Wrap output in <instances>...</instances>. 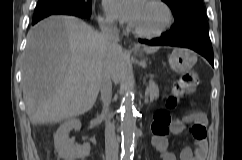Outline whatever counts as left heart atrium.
Here are the masks:
<instances>
[{
  "mask_svg": "<svg viewBox=\"0 0 242 160\" xmlns=\"http://www.w3.org/2000/svg\"><path fill=\"white\" fill-rule=\"evenodd\" d=\"M143 0H104L107 13L124 23L133 25Z\"/></svg>",
  "mask_w": 242,
  "mask_h": 160,
  "instance_id": "1",
  "label": "left heart atrium"
}]
</instances>
